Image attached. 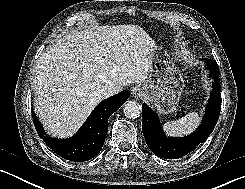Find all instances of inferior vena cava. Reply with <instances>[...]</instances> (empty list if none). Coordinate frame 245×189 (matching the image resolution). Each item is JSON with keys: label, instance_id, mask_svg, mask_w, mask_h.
<instances>
[{"label": "inferior vena cava", "instance_id": "602c4592", "mask_svg": "<svg viewBox=\"0 0 245 189\" xmlns=\"http://www.w3.org/2000/svg\"><path fill=\"white\" fill-rule=\"evenodd\" d=\"M117 92H119V88L113 87V86H112V87H108V88L104 91V95H105L106 97H110V96L116 94Z\"/></svg>", "mask_w": 245, "mask_h": 189}]
</instances>
